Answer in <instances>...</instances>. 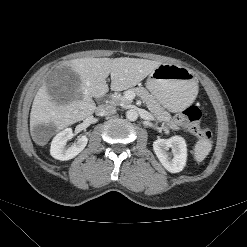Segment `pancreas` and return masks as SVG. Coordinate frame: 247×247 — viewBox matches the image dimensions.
<instances>
[{"label": "pancreas", "instance_id": "cf45deb5", "mask_svg": "<svg viewBox=\"0 0 247 247\" xmlns=\"http://www.w3.org/2000/svg\"><path fill=\"white\" fill-rule=\"evenodd\" d=\"M128 92L140 97L146 103L148 109L158 121L165 123L168 126V128L172 130L179 129V127L172 120L171 115L167 111H165L161 107V105L156 101V99L143 87L132 88L125 91L123 94L114 95L111 100V103L113 105L129 104L131 100H128L126 98Z\"/></svg>", "mask_w": 247, "mask_h": 247}]
</instances>
